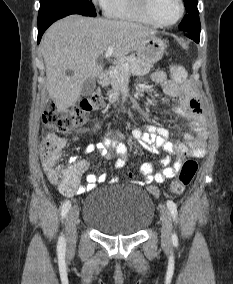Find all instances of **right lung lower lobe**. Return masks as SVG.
I'll list each match as a JSON object with an SVG mask.
<instances>
[{"label": "right lung lower lobe", "instance_id": "obj_1", "mask_svg": "<svg viewBox=\"0 0 233 284\" xmlns=\"http://www.w3.org/2000/svg\"><path fill=\"white\" fill-rule=\"evenodd\" d=\"M52 23H49L45 26L39 27V33H38V43L40 42V39L44 33V31L51 25Z\"/></svg>", "mask_w": 233, "mask_h": 284}]
</instances>
